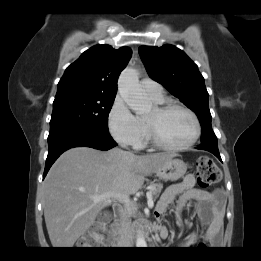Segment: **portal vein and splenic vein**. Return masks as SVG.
<instances>
[{
	"mask_svg": "<svg viewBox=\"0 0 261 261\" xmlns=\"http://www.w3.org/2000/svg\"><path fill=\"white\" fill-rule=\"evenodd\" d=\"M114 194L112 193H105V194H101V195H95V196H91V198L94 200V201H101V200H106L108 198H110L111 196H113ZM119 197V195H117ZM147 199H148V207L149 208H153L154 206V202L152 200V194H151V191H148L147 192Z\"/></svg>",
	"mask_w": 261,
	"mask_h": 261,
	"instance_id": "portal-vein-and-splenic-vein-1",
	"label": "portal vein and splenic vein"
}]
</instances>
